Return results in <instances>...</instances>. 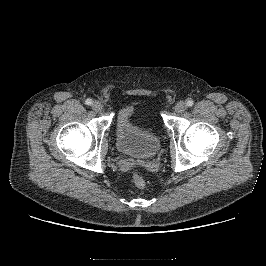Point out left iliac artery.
Segmentation results:
<instances>
[{"mask_svg": "<svg viewBox=\"0 0 266 266\" xmlns=\"http://www.w3.org/2000/svg\"><path fill=\"white\" fill-rule=\"evenodd\" d=\"M193 104H194V101L192 100V99H188L187 100V106H193Z\"/></svg>", "mask_w": 266, "mask_h": 266, "instance_id": "left-iliac-artery-1", "label": "left iliac artery"}]
</instances>
